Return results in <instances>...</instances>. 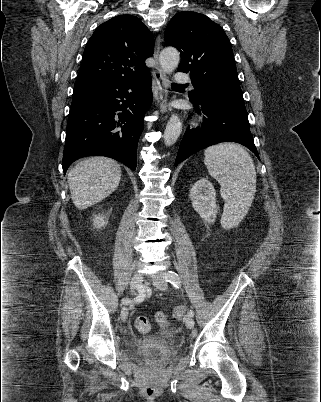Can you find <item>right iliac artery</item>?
I'll return each mask as SVG.
<instances>
[{
  "label": "right iliac artery",
  "instance_id": "1",
  "mask_svg": "<svg viewBox=\"0 0 321 402\" xmlns=\"http://www.w3.org/2000/svg\"><path fill=\"white\" fill-rule=\"evenodd\" d=\"M140 300H142V298H141V296H138L135 301L137 302V301H140ZM130 302H131V301H130L129 298H123V299H122V303H123V304H128V303H130Z\"/></svg>",
  "mask_w": 321,
  "mask_h": 402
}]
</instances>
